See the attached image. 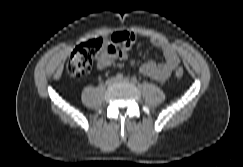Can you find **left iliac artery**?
Listing matches in <instances>:
<instances>
[{
    "label": "left iliac artery",
    "mask_w": 243,
    "mask_h": 167,
    "mask_svg": "<svg viewBox=\"0 0 243 167\" xmlns=\"http://www.w3.org/2000/svg\"><path fill=\"white\" fill-rule=\"evenodd\" d=\"M131 82L134 83V84L137 83V79H136V77H132V78H131Z\"/></svg>",
    "instance_id": "44dca946"
}]
</instances>
